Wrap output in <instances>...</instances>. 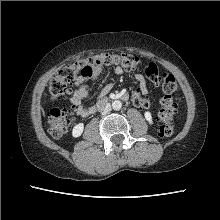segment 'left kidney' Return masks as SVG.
<instances>
[{
	"instance_id": "obj_1",
	"label": "left kidney",
	"mask_w": 220,
	"mask_h": 220,
	"mask_svg": "<svg viewBox=\"0 0 220 220\" xmlns=\"http://www.w3.org/2000/svg\"><path fill=\"white\" fill-rule=\"evenodd\" d=\"M144 116H145V119L147 120V122L149 124H153L152 115H151V113L149 111H146L144 113Z\"/></svg>"
}]
</instances>
